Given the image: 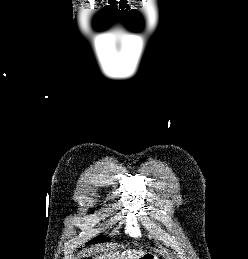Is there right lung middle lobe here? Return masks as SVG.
Listing matches in <instances>:
<instances>
[{"label": "right lung middle lobe", "instance_id": "obj_1", "mask_svg": "<svg viewBox=\"0 0 248 259\" xmlns=\"http://www.w3.org/2000/svg\"><path fill=\"white\" fill-rule=\"evenodd\" d=\"M108 241L109 239H106V238H104L103 236H101V237H97V238H95L94 240H92L91 241V243H101V242H103V241Z\"/></svg>", "mask_w": 248, "mask_h": 259}]
</instances>
